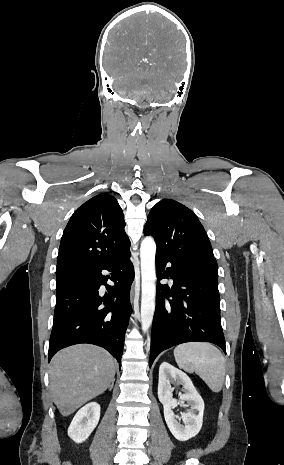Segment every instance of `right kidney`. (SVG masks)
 Wrapping results in <instances>:
<instances>
[{
	"mask_svg": "<svg viewBox=\"0 0 284 465\" xmlns=\"http://www.w3.org/2000/svg\"><path fill=\"white\" fill-rule=\"evenodd\" d=\"M100 419V405L88 403L76 413L69 429L68 435L75 443H83L94 431Z\"/></svg>",
	"mask_w": 284,
	"mask_h": 465,
	"instance_id": "1",
	"label": "right kidney"
}]
</instances>
